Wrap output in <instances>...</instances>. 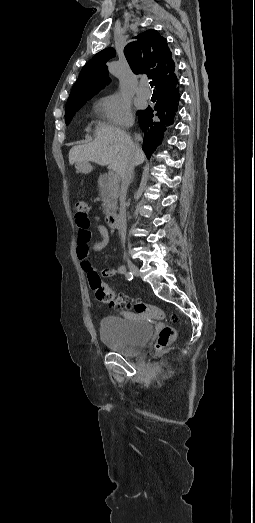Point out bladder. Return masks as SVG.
<instances>
[{
    "label": "bladder",
    "mask_w": 255,
    "mask_h": 523,
    "mask_svg": "<svg viewBox=\"0 0 255 523\" xmlns=\"http://www.w3.org/2000/svg\"><path fill=\"white\" fill-rule=\"evenodd\" d=\"M131 321L125 325L122 320L102 318L99 333L103 342L125 355L139 353L150 339L152 325L138 318Z\"/></svg>",
    "instance_id": "1"
}]
</instances>
